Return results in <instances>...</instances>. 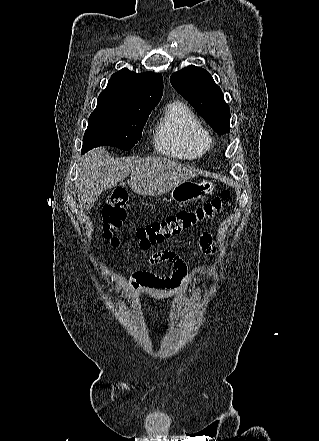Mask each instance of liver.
<instances>
[{"label": "liver", "mask_w": 319, "mask_h": 441, "mask_svg": "<svg viewBox=\"0 0 319 441\" xmlns=\"http://www.w3.org/2000/svg\"><path fill=\"white\" fill-rule=\"evenodd\" d=\"M78 200L90 210L100 194L130 175V188L138 195L158 196L197 175L198 170L164 157L114 158L105 147L94 149L79 168Z\"/></svg>", "instance_id": "6515ba94"}]
</instances>
